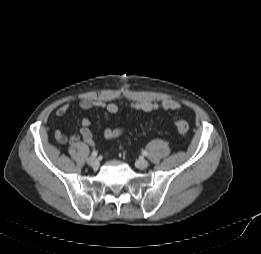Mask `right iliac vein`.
Here are the masks:
<instances>
[{"mask_svg":"<svg viewBox=\"0 0 261 254\" xmlns=\"http://www.w3.org/2000/svg\"><path fill=\"white\" fill-rule=\"evenodd\" d=\"M87 163L88 165H90L93 169H97L99 166V162L97 160V158H95L94 156H91L87 159Z\"/></svg>","mask_w":261,"mask_h":254,"instance_id":"obj_1","label":"right iliac vein"}]
</instances>
